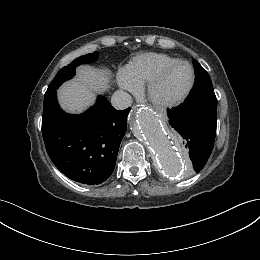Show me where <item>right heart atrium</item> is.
Masks as SVG:
<instances>
[{
  "label": "right heart atrium",
  "instance_id": "d8ad5b80",
  "mask_svg": "<svg viewBox=\"0 0 260 260\" xmlns=\"http://www.w3.org/2000/svg\"><path fill=\"white\" fill-rule=\"evenodd\" d=\"M118 84L119 86L128 91V92H131V93H137L140 88H141V85H138L134 82H132L126 75H125V72L124 74L121 73L119 74L118 76Z\"/></svg>",
  "mask_w": 260,
  "mask_h": 260
}]
</instances>
